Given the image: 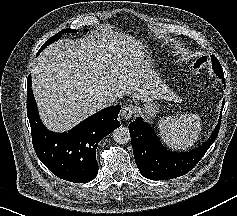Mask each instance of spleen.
I'll return each mask as SVG.
<instances>
[{
    "mask_svg": "<svg viewBox=\"0 0 237 216\" xmlns=\"http://www.w3.org/2000/svg\"><path fill=\"white\" fill-rule=\"evenodd\" d=\"M200 122L195 115H176L163 118L159 131L165 142L174 148L191 147L198 138Z\"/></svg>",
    "mask_w": 237,
    "mask_h": 216,
    "instance_id": "obj_1",
    "label": "spleen"
}]
</instances>
